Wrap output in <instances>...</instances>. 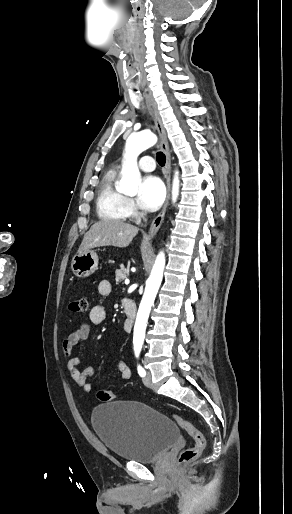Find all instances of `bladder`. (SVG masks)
Instances as JSON below:
<instances>
[{
    "instance_id": "31cf9c89",
    "label": "bladder",
    "mask_w": 292,
    "mask_h": 514,
    "mask_svg": "<svg viewBox=\"0 0 292 514\" xmlns=\"http://www.w3.org/2000/svg\"><path fill=\"white\" fill-rule=\"evenodd\" d=\"M91 423L107 450L125 461L153 462L179 438V428L172 419L135 401L96 406Z\"/></svg>"
}]
</instances>
